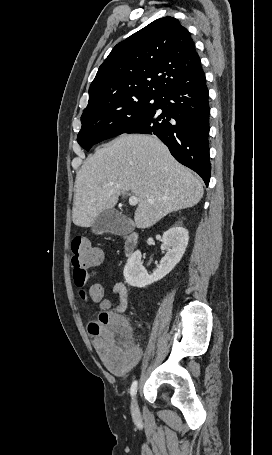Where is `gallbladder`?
Masks as SVG:
<instances>
[{
    "label": "gallbladder",
    "mask_w": 272,
    "mask_h": 455,
    "mask_svg": "<svg viewBox=\"0 0 272 455\" xmlns=\"http://www.w3.org/2000/svg\"><path fill=\"white\" fill-rule=\"evenodd\" d=\"M134 230V225L129 218L114 209L102 211L92 225L95 234L113 233L126 235Z\"/></svg>",
    "instance_id": "1"
}]
</instances>
